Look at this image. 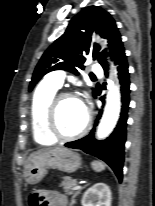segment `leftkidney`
<instances>
[{
  "label": "left kidney",
  "instance_id": "5707ae66",
  "mask_svg": "<svg viewBox=\"0 0 155 206\" xmlns=\"http://www.w3.org/2000/svg\"><path fill=\"white\" fill-rule=\"evenodd\" d=\"M111 191L105 183H96L83 195L82 206H111Z\"/></svg>",
  "mask_w": 155,
  "mask_h": 206
}]
</instances>
